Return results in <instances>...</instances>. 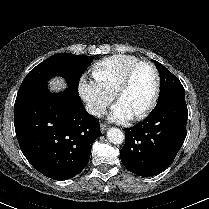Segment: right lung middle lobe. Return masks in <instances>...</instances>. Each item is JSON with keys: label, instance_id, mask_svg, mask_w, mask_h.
I'll return each mask as SVG.
<instances>
[{"label": "right lung middle lobe", "instance_id": "1", "mask_svg": "<svg viewBox=\"0 0 209 209\" xmlns=\"http://www.w3.org/2000/svg\"><path fill=\"white\" fill-rule=\"evenodd\" d=\"M92 57L71 53L55 54L36 67L24 78L18 94L35 86L45 84L52 76H63L70 88L78 91V84L84 70L91 64Z\"/></svg>", "mask_w": 209, "mask_h": 209}]
</instances>
